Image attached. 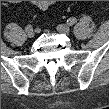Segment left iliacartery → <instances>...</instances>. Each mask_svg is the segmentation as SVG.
I'll return each mask as SVG.
<instances>
[{"mask_svg":"<svg viewBox=\"0 0 109 109\" xmlns=\"http://www.w3.org/2000/svg\"><path fill=\"white\" fill-rule=\"evenodd\" d=\"M77 22L76 18L72 17L67 20L68 25H74Z\"/></svg>","mask_w":109,"mask_h":109,"instance_id":"left-iliac-artery-1","label":"left iliac artery"}]
</instances>
